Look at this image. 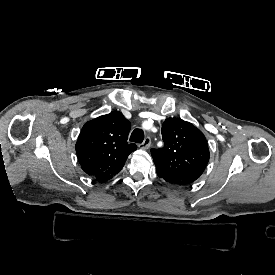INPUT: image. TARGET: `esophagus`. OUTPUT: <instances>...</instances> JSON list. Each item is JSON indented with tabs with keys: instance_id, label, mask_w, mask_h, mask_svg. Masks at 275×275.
<instances>
[{
	"instance_id": "1",
	"label": "esophagus",
	"mask_w": 275,
	"mask_h": 275,
	"mask_svg": "<svg viewBox=\"0 0 275 275\" xmlns=\"http://www.w3.org/2000/svg\"><path fill=\"white\" fill-rule=\"evenodd\" d=\"M150 145H151V139H150V137H146L144 142L141 143L138 147L140 149L146 150L150 147Z\"/></svg>"
}]
</instances>
